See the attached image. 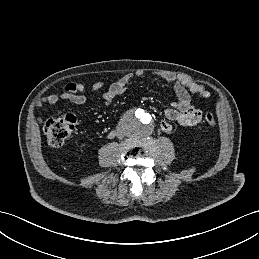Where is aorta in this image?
I'll use <instances>...</instances> for the list:
<instances>
[{"mask_svg": "<svg viewBox=\"0 0 259 259\" xmlns=\"http://www.w3.org/2000/svg\"><path fill=\"white\" fill-rule=\"evenodd\" d=\"M122 127L129 136L147 137L153 132L154 118L147 109H133L123 119Z\"/></svg>", "mask_w": 259, "mask_h": 259, "instance_id": "762f6f07", "label": "aorta"}]
</instances>
